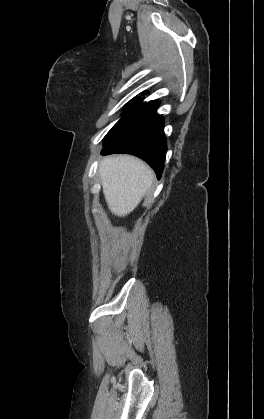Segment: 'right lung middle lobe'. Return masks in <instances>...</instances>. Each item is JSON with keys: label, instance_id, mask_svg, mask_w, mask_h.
<instances>
[{"label": "right lung middle lobe", "instance_id": "right-lung-middle-lobe-1", "mask_svg": "<svg viewBox=\"0 0 264 419\" xmlns=\"http://www.w3.org/2000/svg\"><path fill=\"white\" fill-rule=\"evenodd\" d=\"M146 103H142V98L137 97L132 100V106L129 107L124 116L113 126L103 139L104 145L108 144L123 132H125L138 118Z\"/></svg>", "mask_w": 264, "mask_h": 419}]
</instances>
